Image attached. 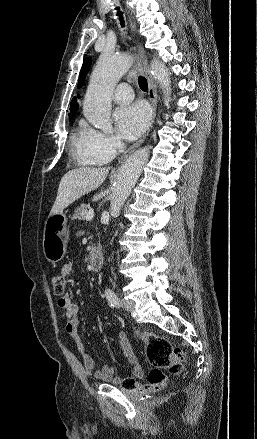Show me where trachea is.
Wrapping results in <instances>:
<instances>
[{
  "label": "trachea",
  "mask_w": 257,
  "mask_h": 439,
  "mask_svg": "<svg viewBox=\"0 0 257 439\" xmlns=\"http://www.w3.org/2000/svg\"><path fill=\"white\" fill-rule=\"evenodd\" d=\"M122 14H123V13L119 11V12L117 13V16H119V19H120V23H121V25L124 26V21H123ZM138 84H139V87H140L143 91H146V90L148 89V83H147V80H146L145 77H143V76H139V78H138Z\"/></svg>",
  "instance_id": "trachea-1"
}]
</instances>
